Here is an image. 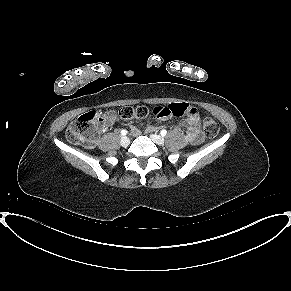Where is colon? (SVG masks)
I'll use <instances>...</instances> for the list:
<instances>
[{"mask_svg":"<svg viewBox=\"0 0 291 291\" xmlns=\"http://www.w3.org/2000/svg\"><path fill=\"white\" fill-rule=\"evenodd\" d=\"M194 111L193 107L186 103H175L168 106H158L154 109L157 117L181 116ZM148 115L145 107L126 106L121 110H107L102 113L98 110L84 113L73 121L67 130V139L72 143H82L86 146H93L97 139L98 124L102 117L115 119L121 118L126 121L143 120ZM203 131L206 137L214 138L219 132L218 123L211 117H204L202 121Z\"/></svg>","mask_w":291,"mask_h":291,"instance_id":"5ec220e1","label":"colon"}]
</instances>
